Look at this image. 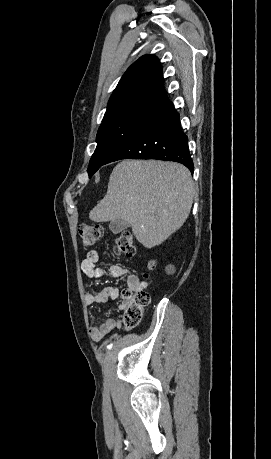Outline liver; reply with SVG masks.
<instances>
[{"mask_svg": "<svg viewBox=\"0 0 271 459\" xmlns=\"http://www.w3.org/2000/svg\"><path fill=\"white\" fill-rule=\"evenodd\" d=\"M189 170L177 162L123 160L114 168L105 198L91 210L93 222L125 220L145 247L181 228L192 208Z\"/></svg>", "mask_w": 271, "mask_h": 459, "instance_id": "6515ba94", "label": "liver"}]
</instances>
